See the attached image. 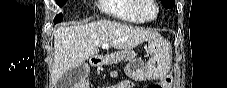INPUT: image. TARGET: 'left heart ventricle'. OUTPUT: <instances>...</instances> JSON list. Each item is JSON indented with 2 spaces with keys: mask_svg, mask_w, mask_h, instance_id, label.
<instances>
[{
  "mask_svg": "<svg viewBox=\"0 0 227 88\" xmlns=\"http://www.w3.org/2000/svg\"><path fill=\"white\" fill-rule=\"evenodd\" d=\"M140 11L144 17H152L156 12L155 8L149 4H144Z\"/></svg>",
  "mask_w": 227,
  "mask_h": 88,
  "instance_id": "b2bd125f",
  "label": "left heart ventricle"
}]
</instances>
